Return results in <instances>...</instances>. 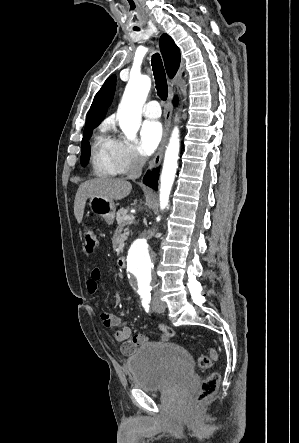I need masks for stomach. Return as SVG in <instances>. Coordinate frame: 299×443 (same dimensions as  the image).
Listing matches in <instances>:
<instances>
[{"label":"stomach","mask_w":299,"mask_h":443,"mask_svg":"<svg viewBox=\"0 0 299 443\" xmlns=\"http://www.w3.org/2000/svg\"><path fill=\"white\" fill-rule=\"evenodd\" d=\"M90 211L105 220L108 225L114 222L116 206L112 200L103 197L89 198Z\"/></svg>","instance_id":"1"}]
</instances>
